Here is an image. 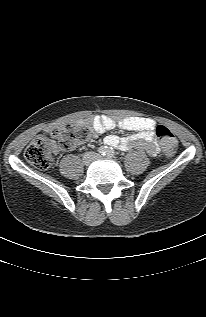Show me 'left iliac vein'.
Instances as JSON below:
<instances>
[{"label":"left iliac vein","instance_id":"1","mask_svg":"<svg viewBox=\"0 0 206 317\" xmlns=\"http://www.w3.org/2000/svg\"><path fill=\"white\" fill-rule=\"evenodd\" d=\"M95 158H97V159H98V158H100V156H96Z\"/></svg>","mask_w":206,"mask_h":317}]
</instances>
